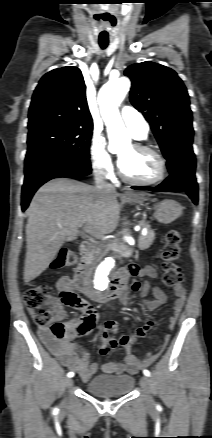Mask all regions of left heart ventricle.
<instances>
[{
    "label": "left heart ventricle",
    "mask_w": 212,
    "mask_h": 438,
    "mask_svg": "<svg viewBox=\"0 0 212 438\" xmlns=\"http://www.w3.org/2000/svg\"><path fill=\"white\" fill-rule=\"evenodd\" d=\"M121 168L131 179L146 181L159 173L158 160L150 153L138 151L128 146L119 153Z\"/></svg>",
    "instance_id": "left-heart-ventricle-1"
}]
</instances>
